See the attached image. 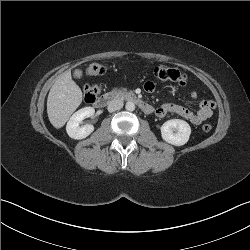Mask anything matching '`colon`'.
Segmentation results:
<instances>
[{
    "instance_id": "colon-1",
    "label": "colon",
    "mask_w": 250,
    "mask_h": 250,
    "mask_svg": "<svg viewBox=\"0 0 250 250\" xmlns=\"http://www.w3.org/2000/svg\"><path fill=\"white\" fill-rule=\"evenodd\" d=\"M105 72V66L100 62L91 63L87 68V74L89 76H100ZM154 76L161 81L174 82L179 85H186L187 76L180 72L178 69L170 68L167 66H158L153 71ZM100 93L99 86L95 84H88L84 87V99L87 103H92L96 100ZM204 132H209L212 126L208 123L202 126Z\"/></svg>"
}]
</instances>
